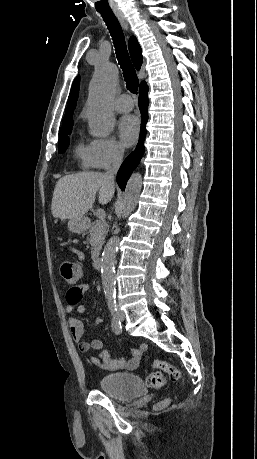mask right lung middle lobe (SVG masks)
<instances>
[{
	"label": "right lung middle lobe",
	"instance_id": "1",
	"mask_svg": "<svg viewBox=\"0 0 257 459\" xmlns=\"http://www.w3.org/2000/svg\"><path fill=\"white\" fill-rule=\"evenodd\" d=\"M71 133V128L59 132L58 152H64L69 145L68 135Z\"/></svg>",
	"mask_w": 257,
	"mask_h": 459
}]
</instances>
